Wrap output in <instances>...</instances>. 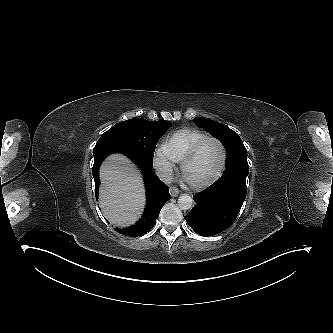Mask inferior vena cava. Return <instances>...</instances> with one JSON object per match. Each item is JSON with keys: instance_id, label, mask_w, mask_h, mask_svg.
<instances>
[{"instance_id": "inferior-vena-cava-1", "label": "inferior vena cava", "mask_w": 333, "mask_h": 333, "mask_svg": "<svg viewBox=\"0 0 333 333\" xmlns=\"http://www.w3.org/2000/svg\"><path fill=\"white\" fill-rule=\"evenodd\" d=\"M157 176L166 184H170L173 179V172L170 167L159 168L157 170Z\"/></svg>"}]
</instances>
